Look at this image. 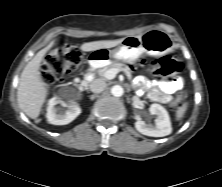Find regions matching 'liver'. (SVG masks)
<instances>
[{
	"mask_svg": "<svg viewBox=\"0 0 222 187\" xmlns=\"http://www.w3.org/2000/svg\"><path fill=\"white\" fill-rule=\"evenodd\" d=\"M123 39L103 40L83 43L81 50L88 52L101 48H112L119 45ZM51 41L44 49L40 50L25 66L19 81L17 101L20 109L30 118L36 119L41 112L42 105L47 96L46 84L42 81L39 68L45 54L52 48Z\"/></svg>",
	"mask_w": 222,
	"mask_h": 187,
	"instance_id": "liver-1",
	"label": "liver"
}]
</instances>
